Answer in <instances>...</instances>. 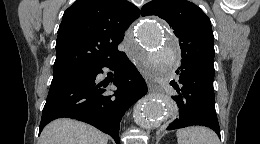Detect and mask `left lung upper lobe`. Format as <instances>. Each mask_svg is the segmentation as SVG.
<instances>
[{
    "instance_id": "1",
    "label": "left lung upper lobe",
    "mask_w": 260,
    "mask_h": 144,
    "mask_svg": "<svg viewBox=\"0 0 260 144\" xmlns=\"http://www.w3.org/2000/svg\"><path fill=\"white\" fill-rule=\"evenodd\" d=\"M141 15H156L170 25L179 39L181 64L214 76L211 22L198 6L186 0H152L142 7Z\"/></svg>"
}]
</instances>
